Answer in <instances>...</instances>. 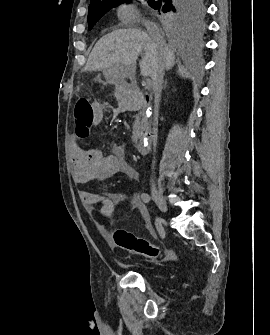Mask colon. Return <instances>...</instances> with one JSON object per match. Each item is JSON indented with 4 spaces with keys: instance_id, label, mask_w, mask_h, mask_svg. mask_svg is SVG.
<instances>
[{
    "instance_id": "1",
    "label": "colon",
    "mask_w": 270,
    "mask_h": 335,
    "mask_svg": "<svg viewBox=\"0 0 270 335\" xmlns=\"http://www.w3.org/2000/svg\"><path fill=\"white\" fill-rule=\"evenodd\" d=\"M76 107L79 110H75V133L78 136L89 137L93 121V108L89 101L82 100L77 102ZM113 238L117 247L127 252L151 259H161L163 256L173 258L169 252L162 250L149 240L138 237L128 230H116Z\"/></svg>"
}]
</instances>
